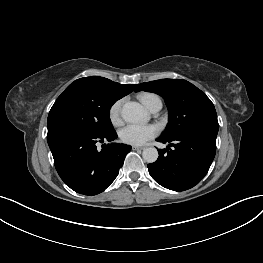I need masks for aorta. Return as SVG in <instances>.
Listing matches in <instances>:
<instances>
[{"mask_svg":"<svg viewBox=\"0 0 263 263\" xmlns=\"http://www.w3.org/2000/svg\"><path fill=\"white\" fill-rule=\"evenodd\" d=\"M121 116L128 123L146 122L149 118L147 112L137 102H127L123 105ZM143 159L148 163H153L158 159V151L154 147H147L142 153Z\"/></svg>","mask_w":263,"mask_h":263,"instance_id":"762f6f07","label":"aorta"}]
</instances>
